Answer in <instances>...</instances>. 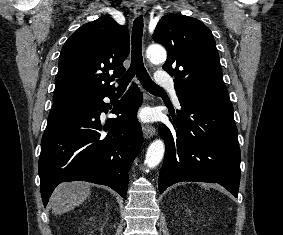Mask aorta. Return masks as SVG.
Wrapping results in <instances>:
<instances>
[{"label":"aorta","mask_w":283,"mask_h":235,"mask_svg":"<svg viewBox=\"0 0 283 235\" xmlns=\"http://www.w3.org/2000/svg\"><path fill=\"white\" fill-rule=\"evenodd\" d=\"M147 57L152 63H161L166 60L165 49L157 44L147 48ZM165 152V145L161 139L153 141L146 153L145 163L149 168L156 167L162 160Z\"/></svg>","instance_id":"obj_1"}]
</instances>
